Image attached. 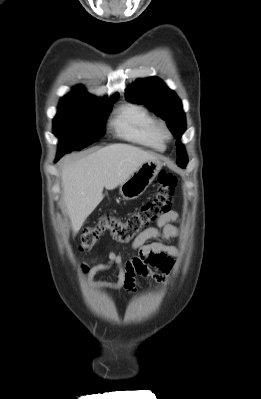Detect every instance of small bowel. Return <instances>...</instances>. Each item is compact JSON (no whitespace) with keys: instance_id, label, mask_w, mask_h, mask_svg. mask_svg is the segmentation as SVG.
Listing matches in <instances>:
<instances>
[{"instance_id":"1","label":"small bowel","mask_w":261,"mask_h":399,"mask_svg":"<svg viewBox=\"0 0 261 399\" xmlns=\"http://www.w3.org/2000/svg\"><path fill=\"white\" fill-rule=\"evenodd\" d=\"M177 220L176 212H168L157 221L156 226L147 228L135 238L132 242L135 255L124 260L121 254L110 251L106 262L96 263L92 267L85 263L82 264L81 275L97 288H125L130 293L137 291L136 279L138 276L151 278L158 283L167 282L168 275L174 270L175 259L180 255L176 246L165 243L167 240L179 237L180 231L175 225ZM150 240L155 241L149 243ZM112 267H116L118 270L116 281L94 280L97 273Z\"/></svg>"}]
</instances>
